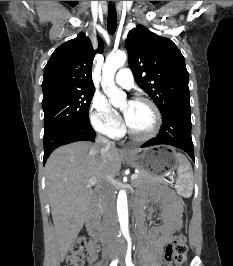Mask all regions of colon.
Listing matches in <instances>:
<instances>
[{
	"instance_id": "5ec220e1",
	"label": "colon",
	"mask_w": 233,
	"mask_h": 266,
	"mask_svg": "<svg viewBox=\"0 0 233 266\" xmlns=\"http://www.w3.org/2000/svg\"><path fill=\"white\" fill-rule=\"evenodd\" d=\"M87 239L84 235L79 236L71 246L67 266H83V258L87 251ZM188 246L183 234H178L172 243L166 247L165 261L170 266H183L187 260Z\"/></svg>"
}]
</instances>
